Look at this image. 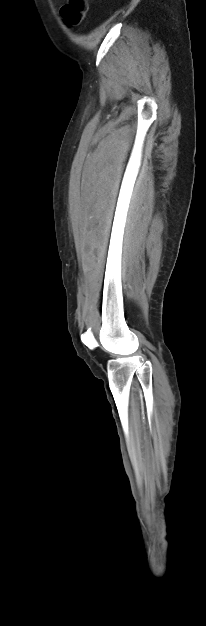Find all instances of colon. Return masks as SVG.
Returning a JSON list of instances; mask_svg holds the SVG:
<instances>
[{
  "label": "colon",
  "instance_id": "5ec220e1",
  "mask_svg": "<svg viewBox=\"0 0 206 626\" xmlns=\"http://www.w3.org/2000/svg\"><path fill=\"white\" fill-rule=\"evenodd\" d=\"M87 11V0H69L62 7L63 17L71 24H78L82 21Z\"/></svg>",
  "mask_w": 206,
  "mask_h": 626
}]
</instances>
